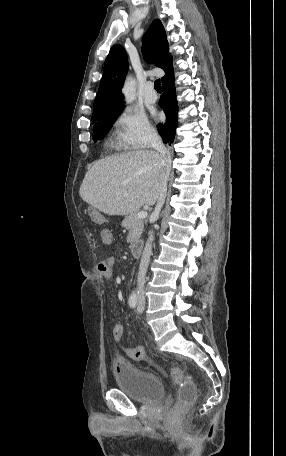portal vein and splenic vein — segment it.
<instances>
[{"label":"portal vein and splenic vein","mask_w":286,"mask_h":456,"mask_svg":"<svg viewBox=\"0 0 286 456\" xmlns=\"http://www.w3.org/2000/svg\"><path fill=\"white\" fill-rule=\"evenodd\" d=\"M147 215H148L147 211H140V212L137 213V217L139 219H144V218L147 217Z\"/></svg>","instance_id":"18ae733b"}]
</instances>
